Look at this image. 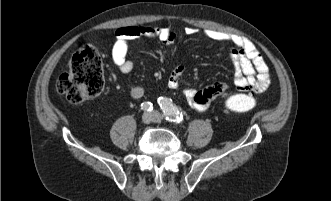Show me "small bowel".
Listing matches in <instances>:
<instances>
[{
	"instance_id": "c3829d8e",
	"label": "small bowel",
	"mask_w": 331,
	"mask_h": 201,
	"mask_svg": "<svg viewBox=\"0 0 331 201\" xmlns=\"http://www.w3.org/2000/svg\"><path fill=\"white\" fill-rule=\"evenodd\" d=\"M185 33L188 35L201 33L210 40L227 42L231 45L230 57L234 64L233 81L239 91L258 93L268 88L270 84L269 68L256 46L247 38L214 29L200 31L193 27H187ZM139 38H156L161 43L169 45L175 41L176 33L169 26H129L117 29L111 58L124 74L130 73L134 68L133 62L127 58L129 43ZM184 73V67L175 68L168 79L169 87L179 88ZM227 88V82L217 81L201 90L185 86L183 93L191 107L197 111H204L210 102L224 93ZM129 92L132 98L139 99L144 95V88L138 84H130Z\"/></svg>"
}]
</instances>
